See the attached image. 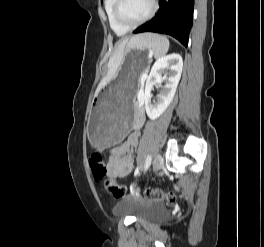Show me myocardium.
I'll return each instance as SVG.
<instances>
[{"label": "myocardium", "mask_w": 264, "mask_h": 247, "mask_svg": "<svg viewBox=\"0 0 264 247\" xmlns=\"http://www.w3.org/2000/svg\"><path fill=\"white\" fill-rule=\"evenodd\" d=\"M123 2H124V0H115L114 17H115V20L120 25H122L128 29L136 28V27L144 24L145 22H147L155 14L156 9H157L156 0H151L150 1L151 5H150V9H149L148 13L143 18H141L140 20L135 21V22H130L122 14Z\"/></svg>", "instance_id": "myocardium-1"}]
</instances>
